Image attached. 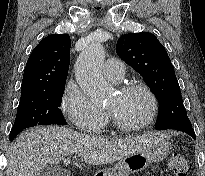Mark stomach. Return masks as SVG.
<instances>
[{"instance_id":"0dacf381","label":"stomach","mask_w":205,"mask_h":176,"mask_svg":"<svg viewBox=\"0 0 205 176\" xmlns=\"http://www.w3.org/2000/svg\"><path fill=\"white\" fill-rule=\"evenodd\" d=\"M171 150V144L161 141L158 144L121 159L113 169L105 171L104 176H128L146 169L151 164L165 159Z\"/></svg>"}]
</instances>
